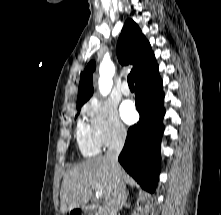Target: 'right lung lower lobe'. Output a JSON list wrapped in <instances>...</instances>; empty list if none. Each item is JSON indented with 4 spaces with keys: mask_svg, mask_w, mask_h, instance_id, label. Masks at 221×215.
Returning <instances> with one entry per match:
<instances>
[{
    "mask_svg": "<svg viewBox=\"0 0 221 215\" xmlns=\"http://www.w3.org/2000/svg\"><path fill=\"white\" fill-rule=\"evenodd\" d=\"M137 124L128 129L120 164L143 188L154 192L160 169V142L164 131L165 110L162 80L158 70L136 82Z\"/></svg>",
    "mask_w": 221,
    "mask_h": 215,
    "instance_id": "right-lung-lower-lobe-1",
    "label": "right lung lower lobe"
}]
</instances>
